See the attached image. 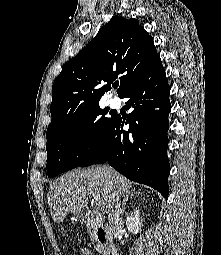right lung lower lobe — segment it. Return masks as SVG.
Instances as JSON below:
<instances>
[{
	"instance_id": "98d812e1",
	"label": "right lung lower lobe",
	"mask_w": 221,
	"mask_h": 255,
	"mask_svg": "<svg viewBox=\"0 0 221 255\" xmlns=\"http://www.w3.org/2000/svg\"><path fill=\"white\" fill-rule=\"evenodd\" d=\"M169 93L158 57L120 97L128 98L127 107L133 111L127 119L115 115L97 146L79 167L108 162L130 180L148 185L167 197ZM124 124H129L128 131L123 130Z\"/></svg>"
}]
</instances>
